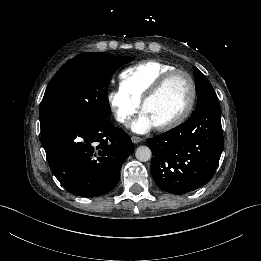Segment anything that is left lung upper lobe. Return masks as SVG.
Segmentation results:
<instances>
[{"label":"left lung upper lobe","instance_id":"left-lung-upper-lobe-1","mask_svg":"<svg viewBox=\"0 0 261 261\" xmlns=\"http://www.w3.org/2000/svg\"><path fill=\"white\" fill-rule=\"evenodd\" d=\"M193 71L197 93V106L195 112L200 111L207 106H217V99L209 80L198 68L193 67Z\"/></svg>","mask_w":261,"mask_h":261}]
</instances>
